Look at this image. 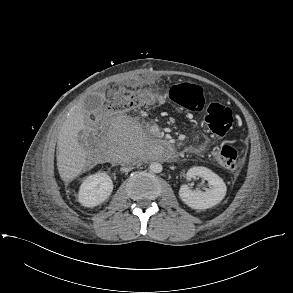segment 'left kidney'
Segmentation results:
<instances>
[{"mask_svg":"<svg viewBox=\"0 0 293 293\" xmlns=\"http://www.w3.org/2000/svg\"><path fill=\"white\" fill-rule=\"evenodd\" d=\"M201 177L208 181L209 189L205 192L191 190L187 185L179 189L180 199L193 209L204 210L220 203L226 195L227 187L222 178L206 167H192L187 172V178Z\"/></svg>","mask_w":293,"mask_h":293,"instance_id":"1","label":"left kidney"}]
</instances>
